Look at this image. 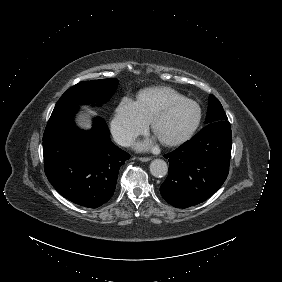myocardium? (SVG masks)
Returning <instances> with one entry per match:
<instances>
[{
	"label": "myocardium",
	"mask_w": 282,
	"mask_h": 282,
	"mask_svg": "<svg viewBox=\"0 0 282 282\" xmlns=\"http://www.w3.org/2000/svg\"><path fill=\"white\" fill-rule=\"evenodd\" d=\"M194 104L196 106L197 109V113L196 116L194 118V120L190 123V125L177 137L173 138V139H163L161 137L158 136L157 134V127L158 124L167 116V114L169 112H171L172 110H174L175 108H178L180 106H183L185 104ZM201 117H202V112H201V108L200 106L194 102L193 100L189 99V98H180L178 100H174L169 102L161 111H159L155 117L152 120V129L153 132L158 136V138L160 139V141L167 146H177L180 145L184 142H186L194 133V131L197 129V127L200 124L201 121Z\"/></svg>",
	"instance_id": "obj_1"
}]
</instances>
